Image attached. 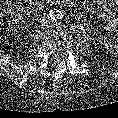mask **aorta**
<instances>
[{
	"label": "aorta",
	"mask_w": 118,
	"mask_h": 118,
	"mask_svg": "<svg viewBox=\"0 0 118 118\" xmlns=\"http://www.w3.org/2000/svg\"><path fill=\"white\" fill-rule=\"evenodd\" d=\"M60 16V14H59V11H52L51 12V17H53V18H58Z\"/></svg>",
	"instance_id": "762f6f07"
}]
</instances>
